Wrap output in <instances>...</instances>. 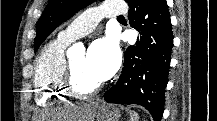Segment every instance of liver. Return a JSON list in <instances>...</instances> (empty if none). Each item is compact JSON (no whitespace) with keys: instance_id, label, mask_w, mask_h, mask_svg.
Instances as JSON below:
<instances>
[{"instance_id":"obj_1","label":"liver","mask_w":217,"mask_h":121,"mask_svg":"<svg viewBox=\"0 0 217 121\" xmlns=\"http://www.w3.org/2000/svg\"><path fill=\"white\" fill-rule=\"evenodd\" d=\"M97 104L85 105L83 107L72 106L67 110L56 113L57 117H63L69 121H90L91 115Z\"/></svg>"}]
</instances>
